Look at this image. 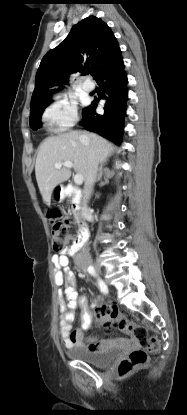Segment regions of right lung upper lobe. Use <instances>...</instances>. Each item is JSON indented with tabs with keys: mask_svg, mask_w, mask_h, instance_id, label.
Wrapping results in <instances>:
<instances>
[{
	"mask_svg": "<svg viewBox=\"0 0 187 415\" xmlns=\"http://www.w3.org/2000/svg\"><path fill=\"white\" fill-rule=\"evenodd\" d=\"M120 53L119 45L109 26L89 16L73 26L69 35L43 57L35 78L30 112L51 102L48 90L52 82H69L71 73L89 69L94 79Z\"/></svg>",
	"mask_w": 187,
	"mask_h": 415,
	"instance_id": "cb5924a9",
	"label": "right lung upper lobe"
}]
</instances>
